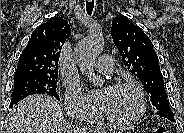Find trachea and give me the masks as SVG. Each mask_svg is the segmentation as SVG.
<instances>
[{
  "mask_svg": "<svg viewBox=\"0 0 184 133\" xmlns=\"http://www.w3.org/2000/svg\"><path fill=\"white\" fill-rule=\"evenodd\" d=\"M94 8V0L86 1V12L88 15H91Z\"/></svg>",
  "mask_w": 184,
  "mask_h": 133,
  "instance_id": "3493384b",
  "label": "trachea"
}]
</instances>
